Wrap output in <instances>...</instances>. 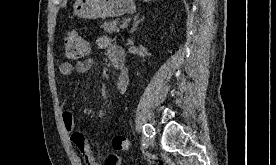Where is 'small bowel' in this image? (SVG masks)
Wrapping results in <instances>:
<instances>
[{
    "mask_svg": "<svg viewBox=\"0 0 276 165\" xmlns=\"http://www.w3.org/2000/svg\"><path fill=\"white\" fill-rule=\"evenodd\" d=\"M99 46L105 48L107 50L108 56L110 60L114 57H117L125 62V54L123 49L118 46L110 43L108 38L102 37L98 41ZM93 66V60L91 58H87L84 60H80L75 64L70 62H62L59 66V71L63 76H69L74 71L79 73L87 72ZM129 82V77L125 66L120 71L118 80H117V88L120 93H124L127 90ZM62 120L65 126V129L70 137L72 143L77 147V149L82 154L85 165H99L97 162L94 152L86 140L85 136L76 128L75 118L70 110L67 108H63L62 110ZM121 158L117 154H110L105 159V165H120Z\"/></svg>",
    "mask_w": 276,
    "mask_h": 165,
    "instance_id": "obj_1",
    "label": "small bowel"
}]
</instances>
